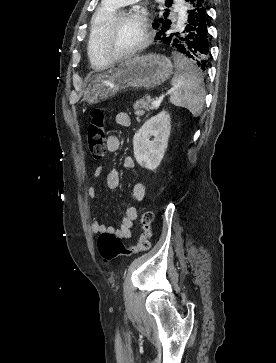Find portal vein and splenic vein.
Returning a JSON list of instances; mask_svg holds the SVG:
<instances>
[{
    "instance_id": "obj_1",
    "label": "portal vein and splenic vein",
    "mask_w": 276,
    "mask_h": 363,
    "mask_svg": "<svg viewBox=\"0 0 276 363\" xmlns=\"http://www.w3.org/2000/svg\"><path fill=\"white\" fill-rule=\"evenodd\" d=\"M151 104H152V106H154V107H159V106H160V104H161V100H160V99H156V100H154Z\"/></svg>"
}]
</instances>
